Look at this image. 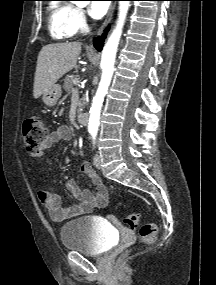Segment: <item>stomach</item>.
Returning <instances> with one entry per match:
<instances>
[{"mask_svg":"<svg viewBox=\"0 0 216 285\" xmlns=\"http://www.w3.org/2000/svg\"><path fill=\"white\" fill-rule=\"evenodd\" d=\"M61 94V86L59 84H54L49 90L42 94V101L46 106L52 107L56 105L57 101L61 97Z\"/></svg>","mask_w":216,"mask_h":285,"instance_id":"stomach-1","label":"stomach"}]
</instances>
